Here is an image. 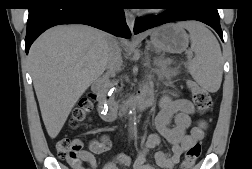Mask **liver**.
I'll return each instance as SVG.
<instances>
[{"label":"liver","instance_id":"obj_1","mask_svg":"<svg viewBox=\"0 0 252 169\" xmlns=\"http://www.w3.org/2000/svg\"><path fill=\"white\" fill-rule=\"evenodd\" d=\"M110 34L86 25H59L31 46L28 59L44 125L55 138L72 108L106 69Z\"/></svg>","mask_w":252,"mask_h":169}]
</instances>
